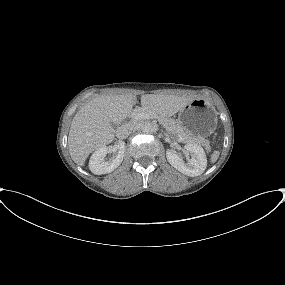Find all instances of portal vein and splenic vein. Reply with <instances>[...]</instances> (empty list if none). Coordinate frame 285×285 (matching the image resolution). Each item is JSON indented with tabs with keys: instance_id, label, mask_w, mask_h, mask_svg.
I'll return each mask as SVG.
<instances>
[{
	"instance_id": "18ae733b",
	"label": "portal vein and splenic vein",
	"mask_w": 285,
	"mask_h": 285,
	"mask_svg": "<svg viewBox=\"0 0 285 285\" xmlns=\"http://www.w3.org/2000/svg\"><path fill=\"white\" fill-rule=\"evenodd\" d=\"M156 114L148 113V112H138L134 115V119H150V118H156Z\"/></svg>"
}]
</instances>
